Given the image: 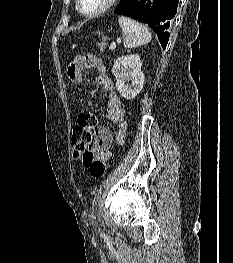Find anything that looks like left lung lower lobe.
I'll return each mask as SVG.
<instances>
[{
    "label": "left lung lower lobe",
    "mask_w": 233,
    "mask_h": 263,
    "mask_svg": "<svg viewBox=\"0 0 233 263\" xmlns=\"http://www.w3.org/2000/svg\"><path fill=\"white\" fill-rule=\"evenodd\" d=\"M179 0H121L115 13L146 23L157 34L164 48L170 34L166 31L177 12Z\"/></svg>",
    "instance_id": "0a47b994"
}]
</instances>
